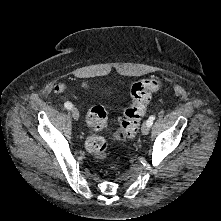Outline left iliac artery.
I'll return each mask as SVG.
<instances>
[{"mask_svg": "<svg viewBox=\"0 0 221 221\" xmlns=\"http://www.w3.org/2000/svg\"><path fill=\"white\" fill-rule=\"evenodd\" d=\"M154 120H155V115L150 116L149 119L147 120V124L149 126H152Z\"/></svg>", "mask_w": 221, "mask_h": 221, "instance_id": "1", "label": "left iliac artery"}]
</instances>
